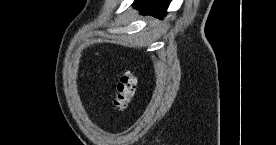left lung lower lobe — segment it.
Instances as JSON below:
<instances>
[{
  "label": "left lung lower lobe",
  "mask_w": 276,
  "mask_h": 145,
  "mask_svg": "<svg viewBox=\"0 0 276 145\" xmlns=\"http://www.w3.org/2000/svg\"><path fill=\"white\" fill-rule=\"evenodd\" d=\"M169 2V0H134V7L143 15L149 14L161 19L166 15Z\"/></svg>",
  "instance_id": "left-lung-lower-lobe-1"
}]
</instances>
